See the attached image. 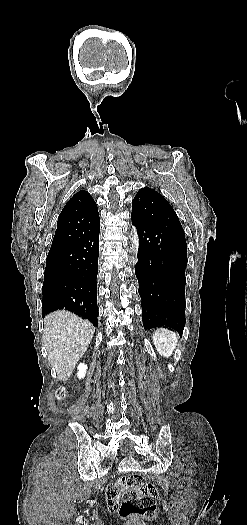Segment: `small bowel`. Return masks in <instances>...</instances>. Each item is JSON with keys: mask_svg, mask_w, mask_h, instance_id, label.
Returning a JSON list of instances; mask_svg holds the SVG:
<instances>
[{"mask_svg": "<svg viewBox=\"0 0 247 525\" xmlns=\"http://www.w3.org/2000/svg\"><path fill=\"white\" fill-rule=\"evenodd\" d=\"M122 483L118 479H113L109 483V487L107 490V496H106V506L110 508L112 512H116L118 510L117 502L116 500V494L118 490L121 488Z\"/></svg>", "mask_w": 247, "mask_h": 525, "instance_id": "c3829d8e", "label": "small bowel"}]
</instances>
